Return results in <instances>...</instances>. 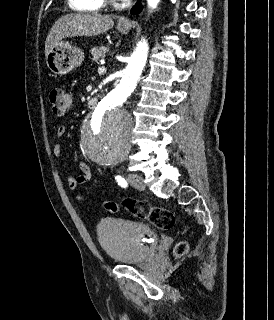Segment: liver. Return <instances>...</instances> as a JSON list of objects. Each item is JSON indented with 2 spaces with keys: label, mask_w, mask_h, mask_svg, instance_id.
Masks as SVG:
<instances>
[{
  "label": "liver",
  "mask_w": 274,
  "mask_h": 320,
  "mask_svg": "<svg viewBox=\"0 0 274 320\" xmlns=\"http://www.w3.org/2000/svg\"><path fill=\"white\" fill-rule=\"evenodd\" d=\"M114 22L110 16L101 14H66L61 16L51 28L45 42V56L51 48L58 46L64 38L75 36H98L113 28Z\"/></svg>",
  "instance_id": "liver-1"
}]
</instances>
